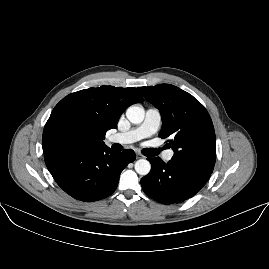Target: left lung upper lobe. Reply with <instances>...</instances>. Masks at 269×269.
<instances>
[{
    "mask_svg": "<svg viewBox=\"0 0 269 269\" xmlns=\"http://www.w3.org/2000/svg\"><path fill=\"white\" fill-rule=\"evenodd\" d=\"M148 102L162 117L161 138L171 136L172 159L213 171L216 160V137L205 107L192 95L170 84L139 87Z\"/></svg>",
    "mask_w": 269,
    "mask_h": 269,
    "instance_id": "obj_1",
    "label": "left lung upper lobe"
}]
</instances>
